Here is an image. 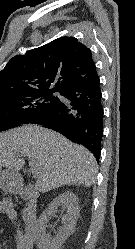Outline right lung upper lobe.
Masks as SVG:
<instances>
[{
  "label": "right lung upper lobe",
  "instance_id": "1",
  "mask_svg": "<svg viewBox=\"0 0 135 249\" xmlns=\"http://www.w3.org/2000/svg\"><path fill=\"white\" fill-rule=\"evenodd\" d=\"M96 76L91 50L74 37H61L13 57L0 71V98L35 91L62 93Z\"/></svg>",
  "mask_w": 135,
  "mask_h": 249
}]
</instances>
